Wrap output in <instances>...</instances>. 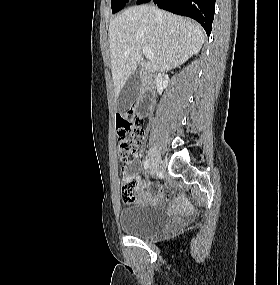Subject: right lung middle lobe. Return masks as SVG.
Listing matches in <instances>:
<instances>
[{
    "mask_svg": "<svg viewBox=\"0 0 280 285\" xmlns=\"http://www.w3.org/2000/svg\"><path fill=\"white\" fill-rule=\"evenodd\" d=\"M129 0H111V8L113 13H116L124 8Z\"/></svg>",
    "mask_w": 280,
    "mask_h": 285,
    "instance_id": "obj_1",
    "label": "right lung middle lobe"
}]
</instances>
